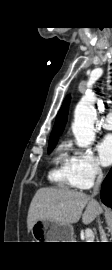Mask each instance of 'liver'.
Returning a JSON list of instances; mask_svg holds the SVG:
<instances>
[{"label": "liver", "mask_w": 112, "mask_h": 270, "mask_svg": "<svg viewBox=\"0 0 112 270\" xmlns=\"http://www.w3.org/2000/svg\"><path fill=\"white\" fill-rule=\"evenodd\" d=\"M101 212L99 203L83 192L66 188H40L30 203L27 228L31 231L35 222L44 220L72 224L78 222L81 216L83 223L89 224Z\"/></svg>", "instance_id": "6515ba94"}]
</instances>
